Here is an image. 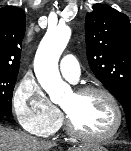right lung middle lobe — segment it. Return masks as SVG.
Wrapping results in <instances>:
<instances>
[{
    "label": "right lung middle lobe",
    "instance_id": "right-lung-middle-lobe-1",
    "mask_svg": "<svg viewBox=\"0 0 131 151\" xmlns=\"http://www.w3.org/2000/svg\"><path fill=\"white\" fill-rule=\"evenodd\" d=\"M18 71L0 70V115L12 114V95Z\"/></svg>",
    "mask_w": 131,
    "mask_h": 151
}]
</instances>
